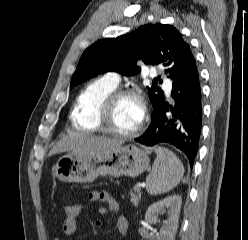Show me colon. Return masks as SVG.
<instances>
[{
	"mask_svg": "<svg viewBox=\"0 0 248 240\" xmlns=\"http://www.w3.org/2000/svg\"><path fill=\"white\" fill-rule=\"evenodd\" d=\"M65 218L77 217L81 211V205L79 203H67L63 208Z\"/></svg>",
	"mask_w": 248,
	"mask_h": 240,
	"instance_id": "obj_1",
	"label": "colon"
}]
</instances>
